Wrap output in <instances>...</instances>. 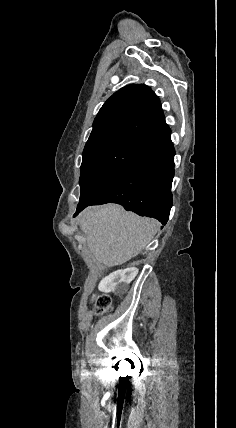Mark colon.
I'll use <instances>...</instances> for the list:
<instances>
[{
	"label": "colon",
	"instance_id": "1",
	"mask_svg": "<svg viewBox=\"0 0 236 428\" xmlns=\"http://www.w3.org/2000/svg\"><path fill=\"white\" fill-rule=\"evenodd\" d=\"M96 313L104 314L113 307L112 300L108 296L93 297Z\"/></svg>",
	"mask_w": 236,
	"mask_h": 428
}]
</instances>
